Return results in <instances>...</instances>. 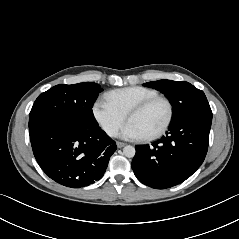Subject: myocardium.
Returning <instances> with one entry per match:
<instances>
[{
    "mask_svg": "<svg viewBox=\"0 0 239 239\" xmlns=\"http://www.w3.org/2000/svg\"><path fill=\"white\" fill-rule=\"evenodd\" d=\"M157 101H164L167 104L168 117H167L165 123L163 124V126L158 131H156L153 134L143 136L142 140H144V141H152V140L158 139L169 129V127L173 121V117H174V105H173L172 101L166 96L156 95V96L150 97V98L142 101L141 103L137 104L127 114V120L129 121V119L131 117L143 112L144 110H146L148 107H150L152 104H154Z\"/></svg>",
    "mask_w": 239,
    "mask_h": 239,
    "instance_id": "obj_1",
    "label": "myocardium"
}]
</instances>
